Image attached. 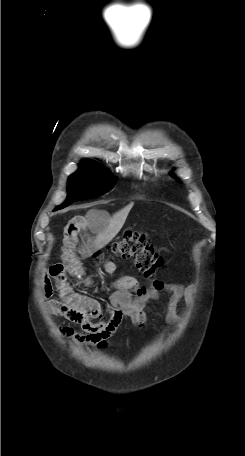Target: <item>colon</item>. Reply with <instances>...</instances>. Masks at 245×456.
<instances>
[{
	"instance_id": "obj_1",
	"label": "colon",
	"mask_w": 245,
	"mask_h": 456,
	"mask_svg": "<svg viewBox=\"0 0 245 456\" xmlns=\"http://www.w3.org/2000/svg\"><path fill=\"white\" fill-rule=\"evenodd\" d=\"M109 250L123 259H132L139 272L152 281L154 288L164 287V283L156 278V272L162 265V260L143 233L126 232L109 246Z\"/></svg>"
}]
</instances>
